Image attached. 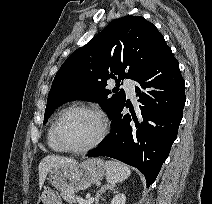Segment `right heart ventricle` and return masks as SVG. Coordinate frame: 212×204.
I'll return each instance as SVG.
<instances>
[{
	"label": "right heart ventricle",
	"instance_id": "right-heart-ventricle-1",
	"mask_svg": "<svg viewBox=\"0 0 212 204\" xmlns=\"http://www.w3.org/2000/svg\"><path fill=\"white\" fill-rule=\"evenodd\" d=\"M54 122L55 121H53L51 123V125H50V127L48 128V131H47V144L52 151L62 152L63 149L57 144V142L54 138V133H53Z\"/></svg>",
	"mask_w": 212,
	"mask_h": 204
}]
</instances>
